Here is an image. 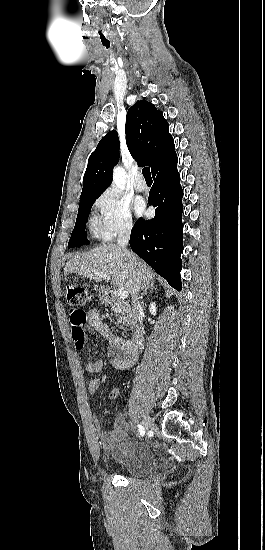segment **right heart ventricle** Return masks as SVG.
Segmentation results:
<instances>
[{"label":"right heart ventricle","mask_w":265,"mask_h":550,"mask_svg":"<svg viewBox=\"0 0 265 550\" xmlns=\"http://www.w3.org/2000/svg\"><path fill=\"white\" fill-rule=\"evenodd\" d=\"M91 233L97 238H104L100 230V221L96 217H92L90 221Z\"/></svg>","instance_id":"obj_1"}]
</instances>
